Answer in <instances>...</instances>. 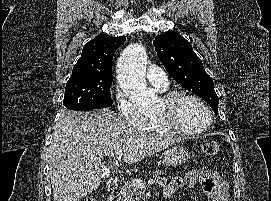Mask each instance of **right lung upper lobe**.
Here are the masks:
<instances>
[{
    "label": "right lung upper lobe",
    "mask_w": 271,
    "mask_h": 201,
    "mask_svg": "<svg viewBox=\"0 0 271 201\" xmlns=\"http://www.w3.org/2000/svg\"><path fill=\"white\" fill-rule=\"evenodd\" d=\"M125 40L124 36L97 35L83 47L72 74H112L113 55Z\"/></svg>",
    "instance_id": "cb5924a9"
}]
</instances>
